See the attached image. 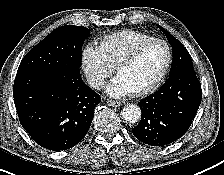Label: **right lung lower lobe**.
Returning <instances> with one entry per match:
<instances>
[{
    "label": "right lung lower lobe",
    "mask_w": 224,
    "mask_h": 175,
    "mask_svg": "<svg viewBox=\"0 0 224 175\" xmlns=\"http://www.w3.org/2000/svg\"><path fill=\"white\" fill-rule=\"evenodd\" d=\"M13 97L23 128L52 151L70 149L84 138L101 101L79 69L17 71Z\"/></svg>",
    "instance_id": "98d812e1"
}]
</instances>
